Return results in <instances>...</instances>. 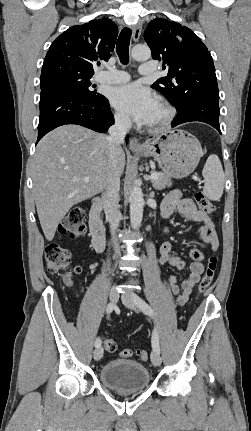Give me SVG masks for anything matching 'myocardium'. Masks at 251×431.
Returning <instances> with one entry per match:
<instances>
[{
	"label": "myocardium",
	"instance_id": "1",
	"mask_svg": "<svg viewBox=\"0 0 251 431\" xmlns=\"http://www.w3.org/2000/svg\"><path fill=\"white\" fill-rule=\"evenodd\" d=\"M159 106L163 112L161 118L147 125V130L151 133H159L168 129L176 117V110L170 103L162 100L159 102Z\"/></svg>",
	"mask_w": 251,
	"mask_h": 431
}]
</instances>
